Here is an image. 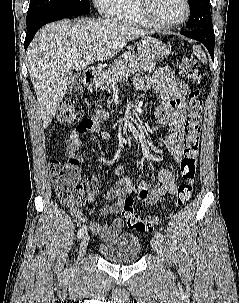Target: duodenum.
<instances>
[{
    "label": "duodenum",
    "instance_id": "obj_1",
    "mask_svg": "<svg viewBox=\"0 0 239 303\" xmlns=\"http://www.w3.org/2000/svg\"><path fill=\"white\" fill-rule=\"evenodd\" d=\"M98 74L95 70H87L85 72V84L89 87L95 86Z\"/></svg>",
    "mask_w": 239,
    "mask_h": 303
}]
</instances>
